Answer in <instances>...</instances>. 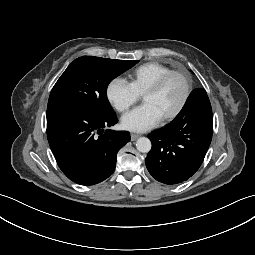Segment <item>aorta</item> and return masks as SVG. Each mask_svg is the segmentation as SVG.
I'll list each match as a JSON object with an SVG mask.
<instances>
[{
  "label": "aorta",
  "instance_id": "aorta-1",
  "mask_svg": "<svg viewBox=\"0 0 255 255\" xmlns=\"http://www.w3.org/2000/svg\"><path fill=\"white\" fill-rule=\"evenodd\" d=\"M136 148L139 152L148 153L151 150V141L146 137H140L136 141Z\"/></svg>",
  "mask_w": 255,
  "mask_h": 255
}]
</instances>
